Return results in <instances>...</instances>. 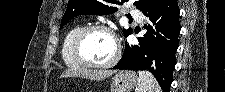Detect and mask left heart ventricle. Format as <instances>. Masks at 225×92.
Listing matches in <instances>:
<instances>
[{"instance_id": "1", "label": "left heart ventricle", "mask_w": 225, "mask_h": 92, "mask_svg": "<svg viewBox=\"0 0 225 92\" xmlns=\"http://www.w3.org/2000/svg\"><path fill=\"white\" fill-rule=\"evenodd\" d=\"M83 54L94 63H105L113 58L115 45L112 37L104 31H93L82 43Z\"/></svg>"}]
</instances>
